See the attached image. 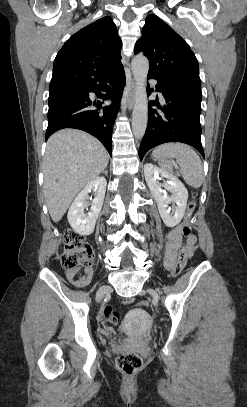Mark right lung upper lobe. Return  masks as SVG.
<instances>
[{
	"label": "right lung upper lobe",
	"instance_id": "obj_1",
	"mask_svg": "<svg viewBox=\"0 0 247 407\" xmlns=\"http://www.w3.org/2000/svg\"><path fill=\"white\" fill-rule=\"evenodd\" d=\"M122 42L110 17L72 35L58 52L49 90L84 87L94 77L122 66Z\"/></svg>",
	"mask_w": 247,
	"mask_h": 407
}]
</instances>
